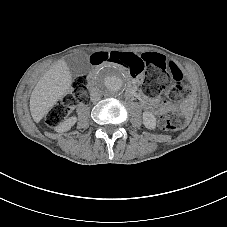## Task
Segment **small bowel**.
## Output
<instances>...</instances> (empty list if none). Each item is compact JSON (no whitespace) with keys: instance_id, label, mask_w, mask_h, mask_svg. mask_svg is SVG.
<instances>
[{"instance_id":"obj_1","label":"small bowel","mask_w":227,"mask_h":227,"mask_svg":"<svg viewBox=\"0 0 227 227\" xmlns=\"http://www.w3.org/2000/svg\"><path fill=\"white\" fill-rule=\"evenodd\" d=\"M111 64L118 66L114 63ZM144 106L154 114H159L168 110V105L165 102L157 99H146V103Z\"/></svg>"}]
</instances>
